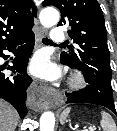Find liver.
<instances>
[{"label":"liver","instance_id":"liver-1","mask_svg":"<svg viewBox=\"0 0 117 131\" xmlns=\"http://www.w3.org/2000/svg\"><path fill=\"white\" fill-rule=\"evenodd\" d=\"M18 119L17 111L0 99V131H15Z\"/></svg>","mask_w":117,"mask_h":131}]
</instances>
